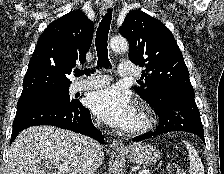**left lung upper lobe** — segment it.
<instances>
[{
  "label": "left lung upper lobe",
  "mask_w": 224,
  "mask_h": 174,
  "mask_svg": "<svg viewBox=\"0 0 224 174\" xmlns=\"http://www.w3.org/2000/svg\"><path fill=\"white\" fill-rule=\"evenodd\" d=\"M119 31L129 42V59L144 67L145 83L134 88L142 99L151 103L168 90L194 92L177 42L161 21L134 10Z\"/></svg>",
  "instance_id": "left-lung-upper-lobe-1"
}]
</instances>
